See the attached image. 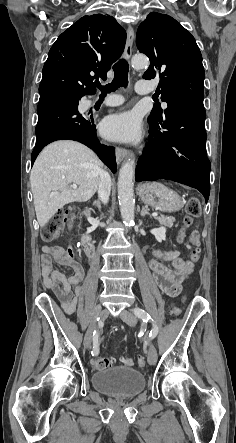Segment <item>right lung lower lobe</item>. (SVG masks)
Segmentation results:
<instances>
[{
    "label": "right lung lower lobe",
    "instance_id": "right-lung-lower-lobe-1",
    "mask_svg": "<svg viewBox=\"0 0 236 443\" xmlns=\"http://www.w3.org/2000/svg\"><path fill=\"white\" fill-rule=\"evenodd\" d=\"M79 98L59 92L40 94L37 108L38 123L35 129L36 145L31 155L33 165L39 152L49 143L70 139L79 141L91 148L99 158L116 172L115 149L103 145L95 136L93 118L78 112Z\"/></svg>",
    "mask_w": 236,
    "mask_h": 443
}]
</instances>
